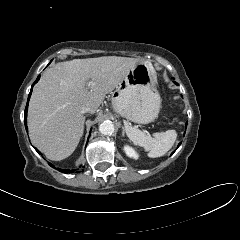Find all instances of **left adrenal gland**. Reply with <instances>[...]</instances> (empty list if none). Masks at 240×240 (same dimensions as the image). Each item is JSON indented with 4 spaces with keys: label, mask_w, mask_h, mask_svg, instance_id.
<instances>
[{
    "label": "left adrenal gland",
    "mask_w": 240,
    "mask_h": 240,
    "mask_svg": "<svg viewBox=\"0 0 240 240\" xmlns=\"http://www.w3.org/2000/svg\"><path fill=\"white\" fill-rule=\"evenodd\" d=\"M122 136H124V134H125V129H124V127H122Z\"/></svg>",
    "instance_id": "obj_1"
}]
</instances>
